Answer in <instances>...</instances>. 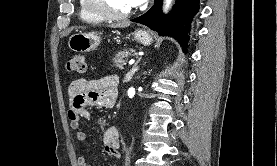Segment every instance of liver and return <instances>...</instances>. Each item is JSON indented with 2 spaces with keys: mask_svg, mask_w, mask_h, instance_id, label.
<instances>
[{
  "mask_svg": "<svg viewBox=\"0 0 277 166\" xmlns=\"http://www.w3.org/2000/svg\"><path fill=\"white\" fill-rule=\"evenodd\" d=\"M130 26V22L129 21H125V22H121V23H117V24H112L110 27L111 28H125Z\"/></svg>",
  "mask_w": 277,
  "mask_h": 166,
  "instance_id": "liver-1",
  "label": "liver"
}]
</instances>
